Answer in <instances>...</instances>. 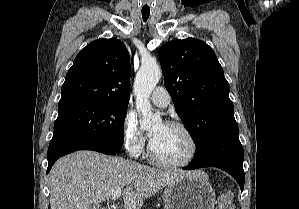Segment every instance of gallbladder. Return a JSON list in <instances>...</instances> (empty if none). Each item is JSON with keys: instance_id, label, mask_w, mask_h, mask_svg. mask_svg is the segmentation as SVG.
<instances>
[{"instance_id": "bac80fb5", "label": "gallbladder", "mask_w": 299, "mask_h": 209, "mask_svg": "<svg viewBox=\"0 0 299 209\" xmlns=\"http://www.w3.org/2000/svg\"><path fill=\"white\" fill-rule=\"evenodd\" d=\"M91 209H102V208H100V207L97 206V205H93V206L91 207Z\"/></svg>"}]
</instances>
